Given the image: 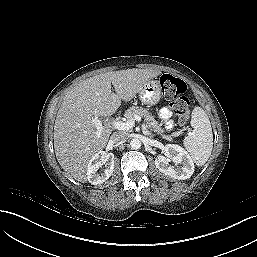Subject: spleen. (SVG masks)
Wrapping results in <instances>:
<instances>
[{"label": "spleen", "mask_w": 257, "mask_h": 257, "mask_svg": "<svg viewBox=\"0 0 257 257\" xmlns=\"http://www.w3.org/2000/svg\"><path fill=\"white\" fill-rule=\"evenodd\" d=\"M191 135L184 139V147L197 166L204 165L213 148V133L210 120L201 107H195L191 115Z\"/></svg>", "instance_id": "spleen-1"}]
</instances>
